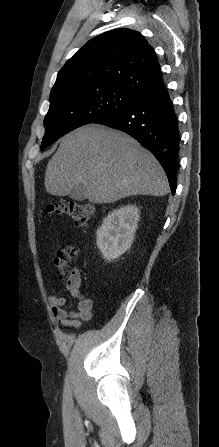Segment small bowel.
Wrapping results in <instances>:
<instances>
[{"instance_id":"small-bowel-1","label":"small bowel","mask_w":219,"mask_h":447,"mask_svg":"<svg viewBox=\"0 0 219 447\" xmlns=\"http://www.w3.org/2000/svg\"><path fill=\"white\" fill-rule=\"evenodd\" d=\"M80 285V276L76 283L67 282V289L78 301L76 311L68 312L65 310L63 308L65 300L61 296L54 295L49 298L52 314L63 326L76 328L81 322L88 321L92 316L93 302L81 293Z\"/></svg>"}]
</instances>
